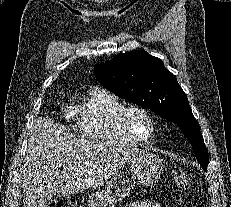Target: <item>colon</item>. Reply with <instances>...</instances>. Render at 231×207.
<instances>
[{
	"label": "colon",
	"mask_w": 231,
	"mask_h": 207,
	"mask_svg": "<svg viewBox=\"0 0 231 207\" xmlns=\"http://www.w3.org/2000/svg\"><path fill=\"white\" fill-rule=\"evenodd\" d=\"M173 181L178 188L187 189L190 187L191 178L187 172L177 170L173 173ZM48 207H76V203L73 199L66 198L55 201L49 204Z\"/></svg>",
	"instance_id": "5ec220e1"
}]
</instances>
